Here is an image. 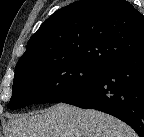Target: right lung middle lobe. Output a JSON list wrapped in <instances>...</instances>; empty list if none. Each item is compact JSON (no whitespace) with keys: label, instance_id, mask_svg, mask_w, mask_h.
I'll return each mask as SVG.
<instances>
[{"label":"right lung middle lobe","instance_id":"obj_1","mask_svg":"<svg viewBox=\"0 0 144 137\" xmlns=\"http://www.w3.org/2000/svg\"><path fill=\"white\" fill-rule=\"evenodd\" d=\"M106 68L81 61L58 60L16 67L8 108L62 101L101 77Z\"/></svg>","mask_w":144,"mask_h":137}]
</instances>
